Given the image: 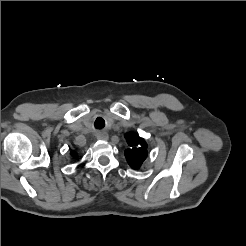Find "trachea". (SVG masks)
<instances>
[{
    "instance_id": "obj_1",
    "label": "trachea",
    "mask_w": 246,
    "mask_h": 246,
    "mask_svg": "<svg viewBox=\"0 0 246 246\" xmlns=\"http://www.w3.org/2000/svg\"><path fill=\"white\" fill-rule=\"evenodd\" d=\"M104 125H105V122H104V120L101 119V118H98V119L95 121V127H96L97 129H102V128L104 127Z\"/></svg>"
}]
</instances>
